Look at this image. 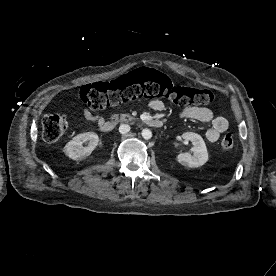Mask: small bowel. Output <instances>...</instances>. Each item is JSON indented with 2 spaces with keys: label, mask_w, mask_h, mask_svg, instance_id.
Masks as SVG:
<instances>
[{
  "label": "small bowel",
  "mask_w": 276,
  "mask_h": 276,
  "mask_svg": "<svg viewBox=\"0 0 276 276\" xmlns=\"http://www.w3.org/2000/svg\"><path fill=\"white\" fill-rule=\"evenodd\" d=\"M149 106L154 111H162L165 105L160 100H152ZM80 118L84 123L93 122L101 124L103 118L101 116L93 114L89 109L83 108L80 110ZM180 116L187 119L197 120L203 123H211V127L206 131V138L210 142H216L220 135L228 130L229 121L227 118L215 115V113L205 107L188 106L185 107L181 112Z\"/></svg>",
  "instance_id": "c3829d8e"
}]
</instances>
